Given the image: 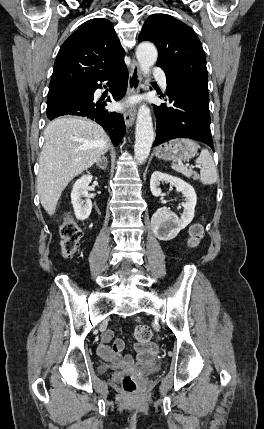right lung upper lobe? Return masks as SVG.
<instances>
[{
  "label": "right lung upper lobe",
  "mask_w": 264,
  "mask_h": 429,
  "mask_svg": "<svg viewBox=\"0 0 264 429\" xmlns=\"http://www.w3.org/2000/svg\"><path fill=\"white\" fill-rule=\"evenodd\" d=\"M124 55L109 20H88L60 48L49 88L87 84L115 66Z\"/></svg>",
  "instance_id": "cb5924a9"
}]
</instances>
